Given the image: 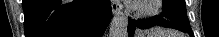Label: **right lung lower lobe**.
Listing matches in <instances>:
<instances>
[{
	"label": "right lung lower lobe",
	"mask_w": 219,
	"mask_h": 37,
	"mask_svg": "<svg viewBox=\"0 0 219 37\" xmlns=\"http://www.w3.org/2000/svg\"><path fill=\"white\" fill-rule=\"evenodd\" d=\"M25 37H102L110 0H23Z\"/></svg>",
	"instance_id": "obj_1"
}]
</instances>
